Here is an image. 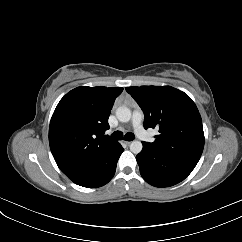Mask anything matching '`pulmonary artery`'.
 <instances>
[{
	"label": "pulmonary artery",
	"mask_w": 242,
	"mask_h": 242,
	"mask_svg": "<svg viewBox=\"0 0 242 242\" xmlns=\"http://www.w3.org/2000/svg\"><path fill=\"white\" fill-rule=\"evenodd\" d=\"M142 121H143V113L138 109L134 110L133 116H132V124L136 134L139 137L143 138L144 140L150 141L151 139L148 137L147 132L143 127Z\"/></svg>",
	"instance_id": "1"
}]
</instances>
